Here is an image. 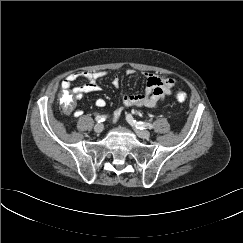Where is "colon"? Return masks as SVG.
Listing matches in <instances>:
<instances>
[{
    "label": "colon",
    "instance_id": "5ec220e1",
    "mask_svg": "<svg viewBox=\"0 0 243 243\" xmlns=\"http://www.w3.org/2000/svg\"><path fill=\"white\" fill-rule=\"evenodd\" d=\"M176 99L179 102H184L187 99V94L185 92L179 91L176 93ZM60 103L63 110L67 113H70L75 107V98L70 92L64 91L61 95Z\"/></svg>",
    "mask_w": 243,
    "mask_h": 243
}]
</instances>
